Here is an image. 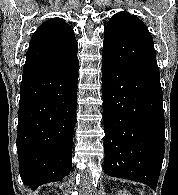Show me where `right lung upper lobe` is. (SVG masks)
Here are the masks:
<instances>
[{
    "mask_svg": "<svg viewBox=\"0 0 178 195\" xmlns=\"http://www.w3.org/2000/svg\"><path fill=\"white\" fill-rule=\"evenodd\" d=\"M77 52L73 29L60 18L50 19L31 38L23 76L69 69L79 62Z\"/></svg>",
    "mask_w": 178,
    "mask_h": 195,
    "instance_id": "cb5924a9",
    "label": "right lung upper lobe"
}]
</instances>
